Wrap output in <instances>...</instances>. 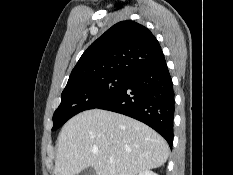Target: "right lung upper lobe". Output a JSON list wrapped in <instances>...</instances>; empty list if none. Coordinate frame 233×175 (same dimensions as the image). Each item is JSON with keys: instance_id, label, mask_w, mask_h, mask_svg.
Masks as SVG:
<instances>
[{"instance_id": "obj_1", "label": "right lung upper lobe", "mask_w": 233, "mask_h": 175, "mask_svg": "<svg viewBox=\"0 0 233 175\" xmlns=\"http://www.w3.org/2000/svg\"><path fill=\"white\" fill-rule=\"evenodd\" d=\"M163 56L150 30L134 21H121L87 48L68 83L108 73L132 75Z\"/></svg>"}]
</instances>
